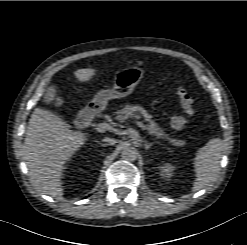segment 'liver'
I'll return each mask as SVG.
<instances>
[{
    "label": "liver",
    "mask_w": 247,
    "mask_h": 245,
    "mask_svg": "<svg viewBox=\"0 0 247 245\" xmlns=\"http://www.w3.org/2000/svg\"><path fill=\"white\" fill-rule=\"evenodd\" d=\"M95 73V69H79L73 74L83 83L90 81ZM87 140L85 133L72 131L57 115L35 108L24 142V160L32 184L43 193L62 199L65 164Z\"/></svg>",
    "instance_id": "liver-1"
}]
</instances>
